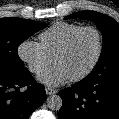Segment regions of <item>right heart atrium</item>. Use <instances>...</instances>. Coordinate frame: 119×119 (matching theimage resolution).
I'll return each instance as SVG.
<instances>
[{"label": "right heart atrium", "mask_w": 119, "mask_h": 119, "mask_svg": "<svg viewBox=\"0 0 119 119\" xmlns=\"http://www.w3.org/2000/svg\"><path fill=\"white\" fill-rule=\"evenodd\" d=\"M18 55L34 74L41 73L53 60L46 53L42 45L32 39H26L20 43Z\"/></svg>", "instance_id": "right-heart-atrium-1"}]
</instances>
